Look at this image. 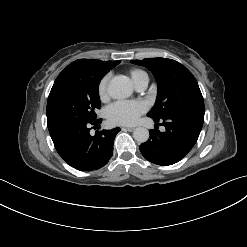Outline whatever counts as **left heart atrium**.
Here are the masks:
<instances>
[{
	"label": "left heart atrium",
	"mask_w": 247,
	"mask_h": 247,
	"mask_svg": "<svg viewBox=\"0 0 247 247\" xmlns=\"http://www.w3.org/2000/svg\"><path fill=\"white\" fill-rule=\"evenodd\" d=\"M147 106L142 101H118L107 111L108 119L114 124L130 125L145 113Z\"/></svg>",
	"instance_id": "39dd6f15"
}]
</instances>
